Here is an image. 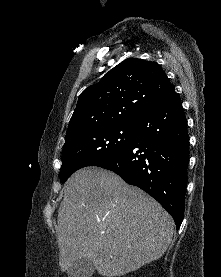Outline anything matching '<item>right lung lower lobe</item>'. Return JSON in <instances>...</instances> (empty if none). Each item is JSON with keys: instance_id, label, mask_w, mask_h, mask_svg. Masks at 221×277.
<instances>
[{"instance_id": "1", "label": "right lung lower lobe", "mask_w": 221, "mask_h": 277, "mask_svg": "<svg viewBox=\"0 0 221 277\" xmlns=\"http://www.w3.org/2000/svg\"><path fill=\"white\" fill-rule=\"evenodd\" d=\"M134 127L129 147L95 166L111 170L147 192L171 214L179 229L184 216L189 136L177 93L137 118Z\"/></svg>"}]
</instances>
